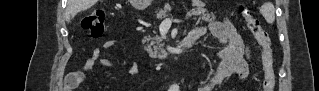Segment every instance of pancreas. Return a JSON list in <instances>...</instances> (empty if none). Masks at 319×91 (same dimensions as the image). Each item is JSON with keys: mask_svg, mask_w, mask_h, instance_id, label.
Wrapping results in <instances>:
<instances>
[{"mask_svg": "<svg viewBox=\"0 0 319 91\" xmlns=\"http://www.w3.org/2000/svg\"><path fill=\"white\" fill-rule=\"evenodd\" d=\"M170 11H171V7L169 5H165L163 9H160L157 12L156 18L162 19ZM192 15L198 16V19H197L198 22H202V21L212 22L213 20L216 19L213 13L212 14L207 13V11L204 8H202L201 5H197V8L194 9L191 14H189V16H192ZM160 42H161V39L159 37H156L154 39V43L157 44V47L155 46L153 47L151 44H148L146 50L150 57L162 58L166 55L165 51L161 48L162 44H160Z\"/></svg>", "mask_w": 319, "mask_h": 91, "instance_id": "cf45deb5", "label": "pancreas"}]
</instances>
